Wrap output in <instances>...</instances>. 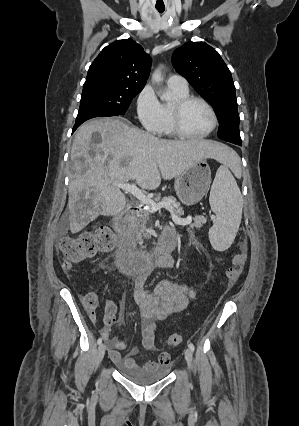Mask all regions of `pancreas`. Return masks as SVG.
Masks as SVG:
<instances>
[{"mask_svg":"<svg viewBox=\"0 0 299 426\" xmlns=\"http://www.w3.org/2000/svg\"><path fill=\"white\" fill-rule=\"evenodd\" d=\"M160 198H155L153 201L158 202ZM165 201L170 202V204L173 207V210L175 214L179 217L183 215L182 208L178 203H176V200L174 197L170 196ZM150 219V211L147 209L140 208L139 211H136L134 215L131 218V230L136 236V241L138 244H143V237L149 238L150 235L146 233V228L148 225V221ZM206 223V218L203 216H196L194 218V223L190 224V226L187 228V232L192 236L194 235V229L201 228Z\"/></svg>","mask_w":299,"mask_h":426,"instance_id":"1","label":"pancreas"}]
</instances>
